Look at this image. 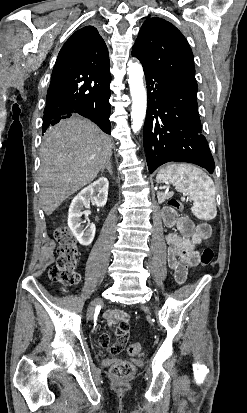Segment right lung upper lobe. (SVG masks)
Returning a JSON list of instances; mask_svg holds the SVG:
<instances>
[{"instance_id":"1","label":"right lung upper lobe","mask_w":247,"mask_h":413,"mask_svg":"<svg viewBox=\"0 0 247 413\" xmlns=\"http://www.w3.org/2000/svg\"><path fill=\"white\" fill-rule=\"evenodd\" d=\"M107 46L93 26H86L75 33L61 48L54 71L92 73L109 69Z\"/></svg>"}]
</instances>
